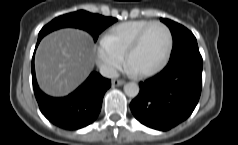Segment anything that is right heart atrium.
<instances>
[{"instance_id": "d8ad5b80", "label": "right heart atrium", "mask_w": 238, "mask_h": 145, "mask_svg": "<svg viewBox=\"0 0 238 145\" xmlns=\"http://www.w3.org/2000/svg\"><path fill=\"white\" fill-rule=\"evenodd\" d=\"M123 55L106 44L102 39L96 46V63L100 71L108 76H114L123 64Z\"/></svg>"}]
</instances>
